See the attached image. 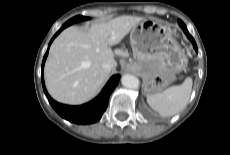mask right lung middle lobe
<instances>
[{
	"mask_svg": "<svg viewBox=\"0 0 230 155\" xmlns=\"http://www.w3.org/2000/svg\"><path fill=\"white\" fill-rule=\"evenodd\" d=\"M88 19H89V17H85V16H80L79 15V16H76V17L68 20L63 26L67 27L69 25L74 24L75 22H79V21H83V20H88Z\"/></svg>",
	"mask_w": 230,
	"mask_h": 155,
	"instance_id": "1",
	"label": "right lung middle lobe"
}]
</instances>
